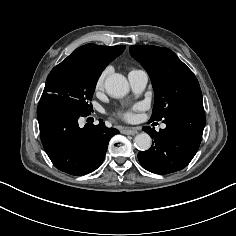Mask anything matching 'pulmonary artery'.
Instances as JSON below:
<instances>
[{"instance_id":"pulmonary-artery-1","label":"pulmonary artery","mask_w":236,"mask_h":236,"mask_svg":"<svg viewBox=\"0 0 236 236\" xmlns=\"http://www.w3.org/2000/svg\"><path fill=\"white\" fill-rule=\"evenodd\" d=\"M128 78L131 88L137 93L142 92L146 88V85L148 83V74L146 71L141 69L132 70L129 73ZM161 127L165 128L166 125L162 124Z\"/></svg>"}]
</instances>
